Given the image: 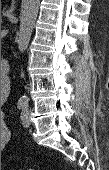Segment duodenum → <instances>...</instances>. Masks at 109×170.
<instances>
[{"mask_svg": "<svg viewBox=\"0 0 109 170\" xmlns=\"http://www.w3.org/2000/svg\"><path fill=\"white\" fill-rule=\"evenodd\" d=\"M1 90L6 91L9 88L10 79H9V63L8 61L4 60L1 62Z\"/></svg>", "mask_w": 109, "mask_h": 170, "instance_id": "obj_1", "label": "duodenum"}]
</instances>
